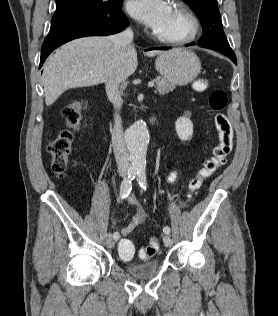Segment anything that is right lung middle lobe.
<instances>
[{"label": "right lung middle lobe", "instance_id": "dd1d6c3e", "mask_svg": "<svg viewBox=\"0 0 278 316\" xmlns=\"http://www.w3.org/2000/svg\"><path fill=\"white\" fill-rule=\"evenodd\" d=\"M103 0H56L57 8L55 15L70 13L83 9L97 8L108 6L109 2Z\"/></svg>", "mask_w": 278, "mask_h": 316}]
</instances>
